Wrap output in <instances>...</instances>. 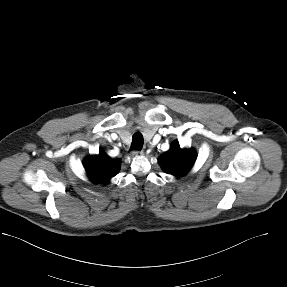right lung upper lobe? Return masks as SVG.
I'll return each mask as SVG.
<instances>
[{"label": "right lung upper lobe", "mask_w": 287, "mask_h": 287, "mask_svg": "<svg viewBox=\"0 0 287 287\" xmlns=\"http://www.w3.org/2000/svg\"><path fill=\"white\" fill-rule=\"evenodd\" d=\"M84 168L90 180L94 183L106 184L114 177L120 168V161L111 159L102 150L98 155L87 157Z\"/></svg>", "instance_id": "obj_1"}]
</instances>
